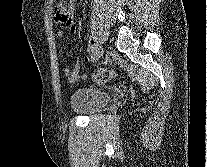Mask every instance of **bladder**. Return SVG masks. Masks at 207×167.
<instances>
[{"mask_svg": "<svg viewBox=\"0 0 207 167\" xmlns=\"http://www.w3.org/2000/svg\"><path fill=\"white\" fill-rule=\"evenodd\" d=\"M111 101V95L101 89L79 88L70 96L69 105L74 112L91 114L104 108Z\"/></svg>", "mask_w": 207, "mask_h": 167, "instance_id": "obj_1", "label": "bladder"}]
</instances>
